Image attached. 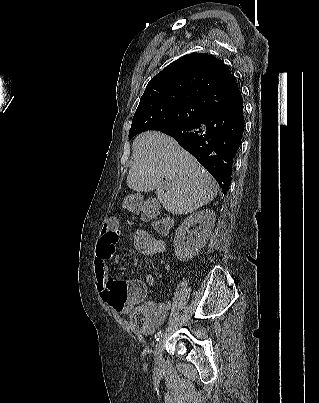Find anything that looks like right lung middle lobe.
Returning a JSON list of instances; mask_svg holds the SVG:
<instances>
[{
    "label": "right lung middle lobe",
    "mask_w": 319,
    "mask_h": 403,
    "mask_svg": "<svg viewBox=\"0 0 319 403\" xmlns=\"http://www.w3.org/2000/svg\"><path fill=\"white\" fill-rule=\"evenodd\" d=\"M208 111L189 103H162L147 106L137 112L132 120L129 139L148 131L160 130L184 124H192L202 119Z\"/></svg>",
    "instance_id": "dd1d6c3e"
}]
</instances>
